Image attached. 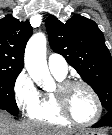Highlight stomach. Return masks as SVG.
I'll return each instance as SVG.
<instances>
[{
    "mask_svg": "<svg viewBox=\"0 0 112 135\" xmlns=\"http://www.w3.org/2000/svg\"><path fill=\"white\" fill-rule=\"evenodd\" d=\"M76 135H102V134L99 132L85 131V132H78Z\"/></svg>",
    "mask_w": 112,
    "mask_h": 135,
    "instance_id": "stomach-1",
    "label": "stomach"
}]
</instances>
